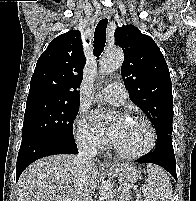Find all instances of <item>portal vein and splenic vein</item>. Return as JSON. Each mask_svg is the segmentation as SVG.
Segmentation results:
<instances>
[{"label": "portal vein and splenic vein", "instance_id": "portal-vein-and-splenic-vein-1", "mask_svg": "<svg viewBox=\"0 0 196 201\" xmlns=\"http://www.w3.org/2000/svg\"><path fill=\"white\" fill-rule=\"evenodd\" d=\"M129 190H130V187H124V188H123V191H129ZM137 196H140V194L137 195Z\"/></svg>", "mask_w": 196, "mask_h": 201}]
</instances>
